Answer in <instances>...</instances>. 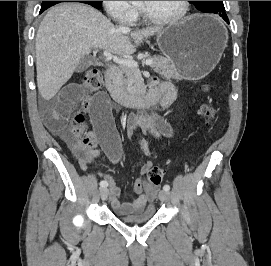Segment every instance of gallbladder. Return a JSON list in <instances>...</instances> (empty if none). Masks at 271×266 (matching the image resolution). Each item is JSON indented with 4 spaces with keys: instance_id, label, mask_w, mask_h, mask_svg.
I'll use <instances>...</instances> for the list:
<instances>
[{
    "instance_id": "bac80fb5",
    "label": "gallbladder",
    "mask_w": 271,
    "mask_h": 266,
    "mask_svg": "<svg viewBox=\"0 0 271 266\" xmlns=\"http://www.w3.org/2000/svg\"><path fill=\"white\" fill-rule=\"evenodd\" d=\"M93 63H94V59L90 57H85L84 59L81 60V62L76 67V72L85 71Z\"/></svg>"
}]
</instances>
